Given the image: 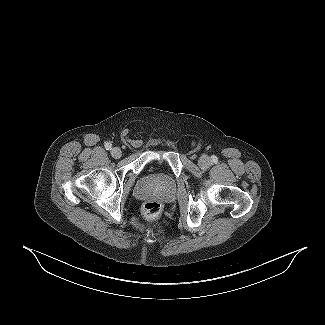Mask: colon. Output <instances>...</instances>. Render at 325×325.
I'll return each instance as SVG.
<instances>
[{"label":"colon","mask_w":325,"mask_h":325,"mask_svg":"<svg viewBox=\"0 0 325 325\" xmlns=\"http://www.w3.org/2000/svg\"><path fill=\"white\" fill-rule=\"evenodd\" d=\"M143 215L147 220L157 219L162 212V205L159 201L151 199L145 202L142 209Z\"/></svg>","instance_id":"1"}]
</instances>
